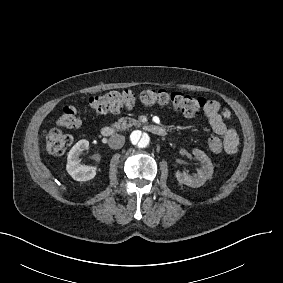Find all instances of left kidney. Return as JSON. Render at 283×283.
Wrapping results in <instances>:
<instances>
[{
  "label": "left kidney",
  "mask_w": 283,
  "mask_h": 283,
  "mask_svg": "<svg viewBox=\"0 0 283 283\" xmlns=\"http://www.w3.org/2000/svg\"><path fill=\"white\" fill-rule=\"evenodd\" d=\"M193 155L197 160L201 162V168L198 170L197 174L189 175L186 172L177 171L175 176L179 183L185 184L192 188H197L202 186L208 179L212 177L213 165L210 158L201 150L193 149Z\"/></svg>",
  "instance_id": "obj_1"
}]
</instances>
